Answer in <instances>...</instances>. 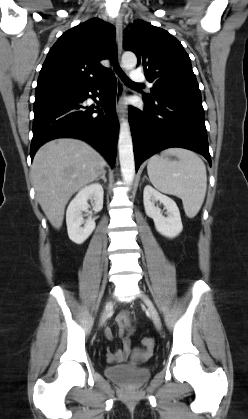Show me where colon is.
<instances>
[{
    "label": "colon",
    "instance_id": "5ec220e1",
    "mask_svg": "<svg viewBox=\"0 0 248 419\" xmlns=\"http://www.w3.org/2000/svg\"><path fill=\"white\" fill-rule=\"evenodd\" d=\"M142 345H143V347H144L146 350H148V351H152V350H153V348H154V341H153V339H151V338L144 337V338L142 339Z\"/></svg>",
    "mask_w": 248,
    "mask_h": 419
}]
</instances>
